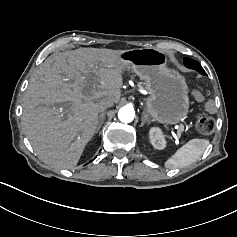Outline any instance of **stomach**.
I'll return each mask as SVG.
<instances>
[{"instance_id":"obj_1","label":"stomach","mask_w":237,"mask_h":237,"mask_svg":"<svg viewBox=\"0 0 237 237\" xmlns=\"http://www.w3.org/2000/svg\"><path fill=\"white\" fill-rule=\"evenodd\" d=\"M119 69L132 70L145 81L149 96L146 111L155 121L176 124L189 109L188 87L184 76L167 67V55L155 47L136 48L120 53Z\"/></svg>"}]
</instances>
